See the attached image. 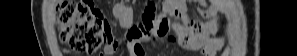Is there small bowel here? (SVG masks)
<instances>
[{
  "mask_svg": "<svg viewBox=\"0 0 297 56\" xmlns=\"http://www.w3.org/2000/svg\"><path fill=\"white\" fill-rule=\"evenodd\" d=\"M197 3L200 6L199 13L202 16L209 15V4L204 0ZM187 12V0H166L159 15L155 13L154 3L149 2L141 23L133 25L132 8L126 3H117L113 14L127 32L122 37L111 38L101 55H112L119 47L125 46L131 56H146L143 43L168 41L176 42L184 49L196 51L199 55L215 56L226 42L225 36H211V33L219 28L221 18L217 16L208 23H202L190 20ZM170 18H177L178 21L172 22Z\"/></svg>",
  "mask_w": 297,
  "mask_h": 56,
  "instance_id": "c3829d8e",
  "label": "small bowel"
}]
</instances>
